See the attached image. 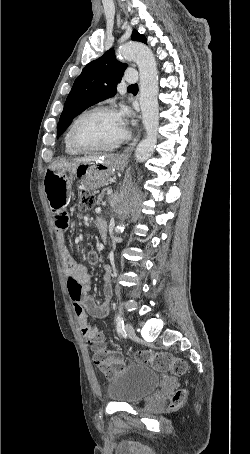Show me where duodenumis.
<instances>
[{
  "label": "duodenum",
  "instance_id": "410a0bca",
  "mask_svg": "<svg viewBox=\"0 0 250 454\" xmlns=\"http://www.w3.org/2000/svg\"><path fill=\"white\" fill-rule=\"evenodd\" d=\"M106 234H107V229H106V226H105V228L103 230V235H106Z\"/></svg>",
  "mask_w": 250,
  "mask_h": 454
}]
</instances>
